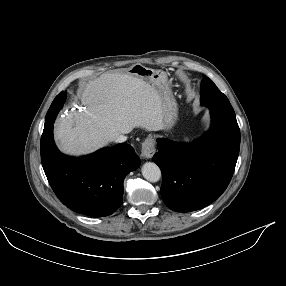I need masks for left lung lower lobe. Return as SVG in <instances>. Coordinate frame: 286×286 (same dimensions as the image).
I'll return each instance as SVG.
<instances>
[{"label": "left lung lower lobe", "mask_w": 286, "mask_h": 286, "mask_svg": "<svg viewBox=\"0 0 286 286\" xmlns=\"http://www.w3.org/2000/svg\"><path fill=\"white\" fill-rule=\"evenodd\" d=\"M210 129L191 144L158 139L153 161L162 171L161 196L176 212L201 209L227 188L238 159L240 129L236 116L209 107Z\"/></svg>", "instance_id": "1"}]
</instances>
